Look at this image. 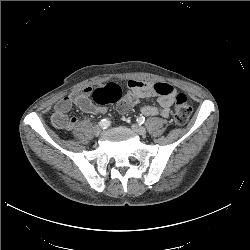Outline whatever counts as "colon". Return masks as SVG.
<instances>
[{
  "instance_id": "5ec220e1",
  "label": "colon",
  "mask_w": 250,
  "mask_h": 250,
  "mask_svg": "<svg viewBox=\"0 0 250 250\" xmlns=\"http://www.w3.org/2000/svg\"><path fill=\"white\" fill-rule=\"evenodd\" d=\"M93 100L99 105L114 103L121 113H127L139 100V95L133 91L123 92L115 83H106L94 88L92 92ZM192 113L191 105L187 97L180 93L175 97L173 109V120L177 124H185Z\"/></svg>"
}]
</instances>
